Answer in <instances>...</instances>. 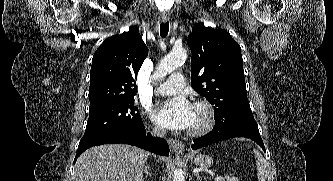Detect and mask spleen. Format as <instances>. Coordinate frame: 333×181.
<instances>
[{"label":"spleen","mask_w":333,"mask_h":181,"mask_svg":"<svg viewBox=\"0 0 333 181\" xmlns=\"http://www.w3.org/2000/svg\"><path fill=\"white\" fill-rule=\"evenodd\" d=\"M257 168V178L259 181H266L268 177L267 162L258 150H254Z\"/></svg>","instance_id":"1"}]
</instances>
